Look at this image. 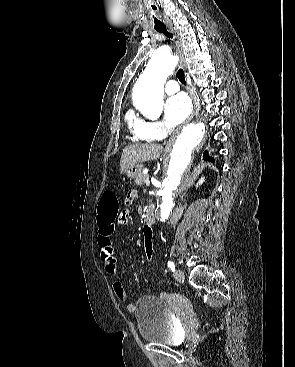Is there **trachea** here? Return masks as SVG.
<instances>
[{
    "instance_id": "3493384b",
    "label": "trachea",
    "mask_w": 295,
    "mask_h": 367,
    "mask_svg": "<svg viewBox=\"0 0 295 367\" xmlns=\"http://www.w3.org/2000/svg\"><path fill=\"white\" fill-rule=\"evenodd\" d=\"M156 31L159 32V33H163L164 35H166L167 37L169 38H173V34L168 31L167 27L166 26H161V27H155ZM177 77L179 79V81L182 83V84H186V81H185V75H184V71L183 69H179L177 71Z\"/></svg>"
}]
</instances>
